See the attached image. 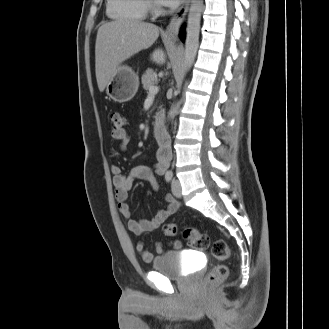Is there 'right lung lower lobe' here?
Instances as JSON below:
<instances>
[{"label": "right lung lower lobe", "mask_w": 329, "mask_h": 329, "mask_svg": "<svg viewBox=\"0 0 329 329\" xmlns=\"http://www.w3.org/2000/svg\"><path fill=\"white\" fill-rule=\"evenodd\" d=\"M180 37H181L182 40H184L185 34L183 32V29H182V32L180 33Z\"/></svg>", "instance_id": "obj_1"}]
</instances>
